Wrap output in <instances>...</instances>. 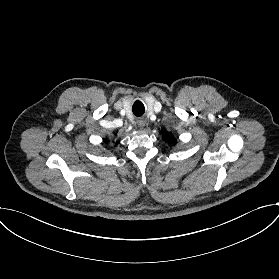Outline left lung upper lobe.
<instances>
[{
    "instance_id": "5c2ea615",
    "label": "left lung upper lobe",
    "mask_w": 279,
    "mask_h": 279,
    "mask_svg": "<svg viewBox=\"0 0 279 279\" xmlns=\"http://www.w3.org/2000/svg\"><path fill=\"white\" fill-rule=\"evenodd\" d=\"M163 139L169 144H175L176 143V139L174 138L172 133H168V132L164 133L163 134Z\"/></svg>"
}]
</instances>
